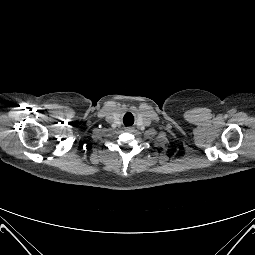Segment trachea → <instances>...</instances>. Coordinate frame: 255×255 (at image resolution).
Instances as JSON below:
<instances>
[{
  "instance_id": "trachea-1",
  "label": "trachea",
  "mask_w": 255,
  "mask_h": 255,
  "mask_svg": "<svg viewBox=\"0 0 255 255\" xmlns=\"http://www.w3.org/2000/svg\"><path fill=\"white\" fill-rule=\"evenodd\" d=\"M126 117V116H125ZM133 122H134V118H133V116L131 117V119L127 122V120H124V124L126 125V126H130V125H132L133 124Z\"/></svg>"
}]
</instances>
